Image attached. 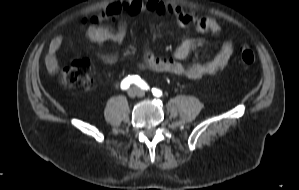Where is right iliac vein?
Masks as SVG:
<instances>
[{
  "mask_svg": "<svg viewBox=\"0 0 299 190\" xmlns=\"http://www.w3.org/2000/svg\"><path fill=\"white\" fill-rule=\"evenodd\" d=\"M139 94V90L137 88H131L129 91H128V95L129 97L133 98L135 96H137Z\"/></svg>",
  "mask_w": 299,
  "mask_h": 190,
  "instance_id": "63e3f726",
  "label": "right iliac vein"
}]
</instances>
